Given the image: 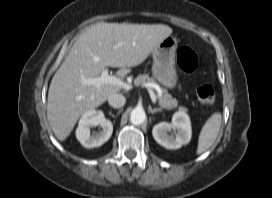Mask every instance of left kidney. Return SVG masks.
<instances>
[{
	"instance_id": "left-kidney-1",
	"label": "left kidney",
	"mask_w": 272,
	"mask_h": 198,
	"mask_svg": "<svg viewBox=\"0 0 272 198\" xmlns=\"http://www.w3.org/2000/svg\"><path fill=\"white\" fill-rule=\"evenodd\" d=\"M174 130L173 134H168ZM155 141L167 149H178L189 143L192 136L191 122L185 112H176L172 117V123L161 122L152 130Z\"/></svg>"
}]
</instances>
